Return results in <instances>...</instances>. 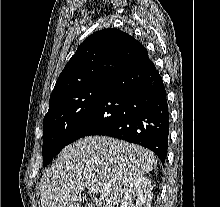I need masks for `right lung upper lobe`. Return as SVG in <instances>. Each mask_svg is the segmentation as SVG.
I'll use <instances>...</instances> for the list:
<instances>
[{"label": "right lung upper lobe", "instance_id": "right-lung-upper-lobe-1", "mask_svg": "<svg viewBox=\"0 0 220 207\" xmlns=\"http://www.w3.org/2000/svg\"><path fill=\"white\" fill-rule=\"evenodd\" d=\"M147 55L146 48L126 32L116 28L94 32L65 65L50 100L95 82L108 81Z\"/></svg>", "mask_w": 220, "mask_h": 207}]
</instances>
